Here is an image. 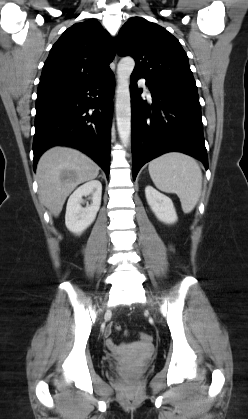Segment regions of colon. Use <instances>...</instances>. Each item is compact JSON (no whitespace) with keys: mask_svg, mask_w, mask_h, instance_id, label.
Instances as JSON below:
<instances>
[{"mask_svg":"<svg viewBox=\"0 0 248 419\" xmlns=\"http://www.w3.org/2000/svg\"><path fill=\"white\" fill-rule=\"evenodd\" d=\"M119 326L117 325V324H113L111 327H110V330L112 331L113 329H117ZM139 339L142 341V342H145V343H151V341H152V337L149 335V334H146V333H140L139 334Z\"/></svg>","mask_w":248,"mask_h":419,"instance_id":"5ec220e1","label":"colon"}]
</instances>
